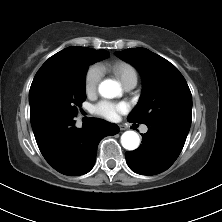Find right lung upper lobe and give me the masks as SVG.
<instances>
[{"mask_svg": "<svg viewBox=\"0 0 222 222\" xmlns=\"http://www.w3.org/2000/svg\"><path fill=\"white\" fill-rule=\"evenodd\" d=\"M78 50H94V49H91V48H86V47H77V46H74V47H68L66 49H63L62 51L56 53L55 55H53L52 57H50L48 60H53V59H56V58H60V57H64L66 56L67 54L71 53V52H74V51H78ZM96 51L98 54L107 57V55L109 54L107 51L105 50H94Z\"/></svg>", "mask_w": 222, "mask_h": 222, "instance_id": "cb5924a9", "label": "right lung upper lobe"}]
</instances>
